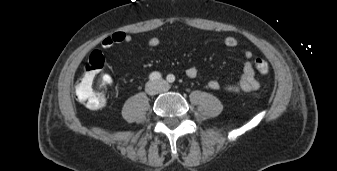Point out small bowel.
Instances as JSON below:
<instances>
[{"label": "small bowel", "mask_w": 337, "mask_h": 171, "mask_svg": "<svg viewBox=\"0 0 337 171\" xmlns=\"http://www.w3.org/2000/svg\"><path fill=\"white\" fill-rule=\"evenodd\" d=\"M133 37L131 34L117 31L113 34L106 36L101 41V46L104 49H109L117 44L131 43ZM148 45L150 47H159L162 44V40L158 37H152L148 40ZM223 44L228 48H235L238 46V40L234 37H226L223 41ZM245 59L240 80L237 84L227 85L224 87V90L231 94H237L241 92H251L259 89L260 83L256 78L254 65L252 61L253 54L250 50H245L243 53ZM185 75L190 79H197L201 77L199 70L196 67H188L185 70ZM104 82L108 85H112L114 79L110 75L104 76ZM207 85L210 89L218 90L221 85L216 79H210L207 82Z\"/></svg>", "instance_id": "obj_1"}]
</instances>
